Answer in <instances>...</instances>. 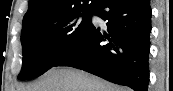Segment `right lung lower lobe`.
<instances>
[{"label":"right lung lower lobe","mask_w":173,"mask_h":91,"mask_svg":"<svg viewBox=\"0 0 173 91\" xmlns=\"http://www.w3.org/2000/svg\"><path fill=\"white\" fill-rule=\"evenodd\" d=\"M91 25L78 45L54 66L78 68L135 91H147L151 31L150 0H98Z\"/></svg>","instance_id":"right-lung-lower-lobe-1"}]
</instances>
